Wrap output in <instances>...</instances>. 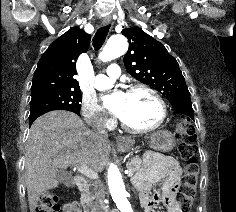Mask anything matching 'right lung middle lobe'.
Returning <instances> with one entry per match:
<instances>
[{
  "label": "right lung middle lobe",
  "instance_id": "right-lung-middle-lobe-1",
  "mask_svg": "<svg viewBox=\"0 0 236 212\" xmlns=\"http://www.w3.org/2000/svg\"><path fill=\"white\" fill-rule=\"evenodd\" d=\"M79 89H54L32 93L30 115L52 110H67L80 114Z\"/></svg>",
  "mask_w": 236,
  "mask_h": 212
}]
</instances>
